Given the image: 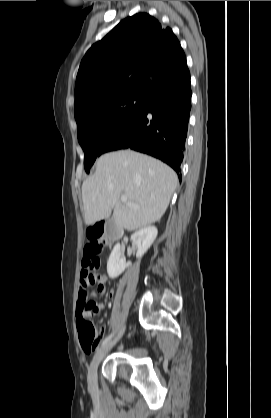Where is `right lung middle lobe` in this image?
<instances>
[{"mask_svg": "<svg viewBox=\"0 0 271 418\" xmlns=\"http://www.w3.org/2000/svg\"><path fill=\"white\" fill-rule=\"evenodd\" d=\"M147 99L139 94L124 93L75 115L78 141L85 153L84 166L87 173L106 137L135 114Z\"/></svg>", "mask_w": 271, "mask_h": 418, "instance_id": "right-lung-middle-lobe-1", "label": "right lung middle lobe"}]
</instances>
